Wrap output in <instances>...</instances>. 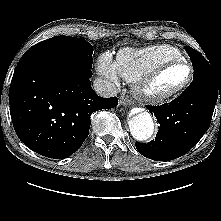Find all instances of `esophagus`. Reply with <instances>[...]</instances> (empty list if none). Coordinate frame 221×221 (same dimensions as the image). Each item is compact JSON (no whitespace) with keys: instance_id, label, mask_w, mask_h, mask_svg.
<instances>
[{"instance_id":"esophagus-1","label":"esophagus","mask_w":221,"mask_h":221,"mask_svg":"<svg viewBox=\"0 0 221 221\" xmlns=\"http://www.w3.org/2000/svg\"><path fill=\"white\" fill-rule=\"evenodd\" d=\"M120 103L124 106H129L133 103L132 99L129 98V97H122L121 100H120Z\"/></svg>"}]
</instances>
